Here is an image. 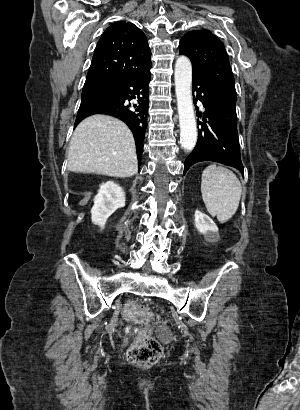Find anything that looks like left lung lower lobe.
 I'll use <instances>...</instances> for the list:
<instances>
[{"label": "left lung lower lobe", "instance_id": "1", "mask_svg": "<svg viewBox=\"0 0 300 410\" xmlns=\"http://www.w3.org/2000/svg\"><path fill=\"white\" fill-rule=\"evenodd\" d=\"M193 96L196 93L205 107L199 122L198 140L184 163L185 174L190 166L201 161H214L244 171L237 132L236 98L219 85L193 74Z\"/></svg>", "mask_w": 300, "mask_h": 410}]
</instances>
